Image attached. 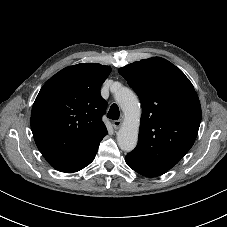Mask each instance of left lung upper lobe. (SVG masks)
<instances>
[{"mask_svg": "<svg viewBox=\"0 0 227 227\" xmlns=\"http://www.w3.org/2000/svg\"><path fill=\"white\" fill-rule=\"evenodd\" d=\"M119 73L142 104L138 144L127 156L154 168L171 169L194 144L201 122L192 83L160 57L126 65Z\"/></svg>", "mask_w": 227, "mask_h": 227, "instance_id": "5c2ea615", "label": "left lung upper lobe"}]
</instances>
